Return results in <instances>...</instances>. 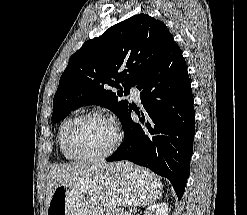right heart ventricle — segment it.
Masks as SVG:
<instances>
[{"instance_id": "1", "label": "right heart ventricle", "mask_w": 247, "mask_h": 215, "mask_svg": "<svg viewBox=\"0 0 247 215\" xmlns=\"http://www.w3.org/2000/svg\"><path fill=\"white\" fill-rule=\"evenodd\" d=\"M73 120H74V117L66 118L60 124L59 130H58V136H57L58 146H59L62 156L66 160H70V161L76 160L69 153L68 146H67V132Z\"/></svg>"}]
</instances>
